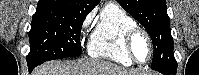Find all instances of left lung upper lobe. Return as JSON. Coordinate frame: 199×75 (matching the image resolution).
I'll use <instances>...</instances> for the list:
<instances>
[{"mask_svg":"<svg viewBox=\"0 0 199 75\" xmlns=\"http://www.w3.org/2000/svg\"><path fill=\"white\" fill-rule=\"evenodd\" d=\"M117 2L141 23L150 35L154 46L152 69L158 71L176 64L165 0H117Z\"/></svg>","mask_w":199,"mask_h":75,"instance_id":"left-lung-upper-lobe-1","label":"left lung upper lobe"}]
</instances>
